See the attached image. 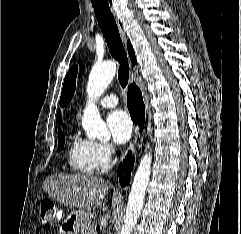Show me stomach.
Instances as JSON below:
<instances>
[{
	"mask_svg": "<svg viewBox=\"0 0 241 234\" xmlns=\"http://www.w3.org/2000/svg\"><path fill=\"white\" fill-rule=\"evenodd\" d=\"M88 214L84 211L71 212L61 226L62 234H84L88 228Z\"/></svg>",
	"mask_w": 241,
	"mask_h": 234,
	"instance_id": "stomach-1",
	"label": "stomach"
}]
</instances>
